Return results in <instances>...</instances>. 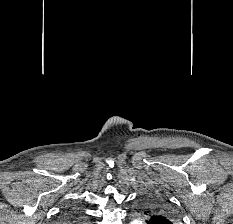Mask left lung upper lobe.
Listing matches in <instances>:
<instances>
[{
	"instance_id": "left-lung-upper-lobe-1",
	"label": "left lung upper lobe",
	"mask_w": 233,
	"mask_h": 224,
	"mask_svg": "<svg viewBox=\"0 0 233 224\" xmlns=\"http://www.w3.org/2000/svg\"><path fill=\"white\" fill-rule=\"evenodd\" d=\"M137 212L145 215L148 224H179L180 217L173 206L161 195L149 192L138 201Z\"/></svg>"
}]
</instances>
